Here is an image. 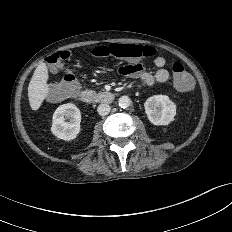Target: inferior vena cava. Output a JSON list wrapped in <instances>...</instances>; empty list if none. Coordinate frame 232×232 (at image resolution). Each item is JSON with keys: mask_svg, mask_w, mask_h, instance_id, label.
I'll use <instances>...</instances> for the list:
<instances>
[{"mask_svg": "<svg viewBox=\"0 0 232 232\" xmlns=\"http://www.w3.org/2000/svg\"><path fill=\"white\" fill-rule=\"evenodd\" d=\"M110 106L108 104H100L97 108L99 115L105 116L110 112Z\"/></svg>", "mask_w": 232, "mask_h": 232, "instance_id": "602c4592", "label": "inferior vena cava"}]
</instances>
